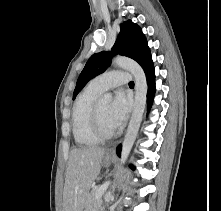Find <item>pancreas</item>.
I'll list each match as a JSON object with an SVG mask.
<instances>
[{
	"mask_svg": "<svg viewBox=\"0 0 221 211\" xmlns=\"http://www.w3.org/2000/svg\"><path fill=\"white\" fill-rule=\"evenodd\" d=\"M97 188L91 190L85 199L84 211H99L102 204V198L96 199Z\"/></svg>",
	"mask_w": 221,
	"mask_h": 211,
	"instance_id": "1",
	"label": "pancreas"
}]
</instances>
